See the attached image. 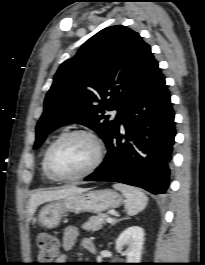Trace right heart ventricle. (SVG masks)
<instances>
[{
	"mask_svg": "<svg viewBox=\"0 0 205 265\" xmlns=\"http://www.w3.org/2000/svg\"><path fill=\"white\" fill-rule=\"evenodd\" d=\"M42 171H43V175L44 177L47 179V180H50V181H54V179L47 173L45 167H44V157H43V160H42Z\"/></svg>",
	"mask_w": 205,
	"mask_h": 265,
	"instance_id": "e07e8e85",
	"label": "right heart ventricle"
}]
</instances>
